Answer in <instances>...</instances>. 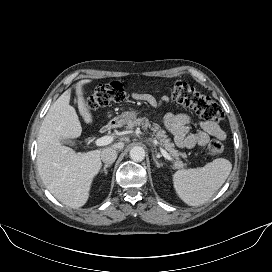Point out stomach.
Segmentation results:
<instances>
[{
    "label": "stomach",
    "instance_id": "stomach-1",
    "mask_svg": "<svg viewBox=\"0 0 272 272\" xmlns=\"http://www.w3.org/2000/svg\"><path fill=\"white\" fill-rule=\"evenodd\" d=\"M136 111H131V112H125L118 117H115L111 122L110 125L113 127H120L124 124H126L129 120L135 118L137 116Z\"/></svg>",
    "mask_w": 272,
    "mask_h": 272
}]
</instances>
